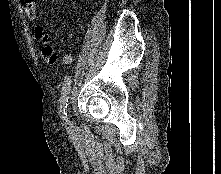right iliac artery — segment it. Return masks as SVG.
Wrapping results in <instances>:
<instances>
[{"label":"right iliac artery","mask_w":221,"mask_h":174,"mask_svg":"<svg viewBox=\"0 0 221 174\" xmlns=\"http://www.w3.org/2000/svg\"><path fill=\"white\" fill-rule=\"evenodd\" d=\"M70 84H71V78L70 76H66L63 82L62 91H61V98H60V108L62 112V119L66 122L68 121L67 118V105H68V99L70 94Z\"/></svg>","instance_id":"1"}]
</instances>
